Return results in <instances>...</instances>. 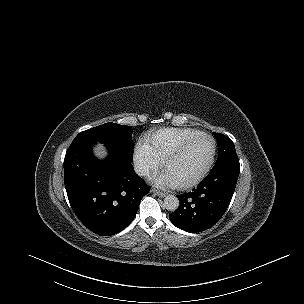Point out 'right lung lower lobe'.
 Returning <instances> with one entry per match:
<instances>
[{"label": "right lung lower lobe", "instance_id": "1", "mask_svg": "<svg viewBox=\"0 0 304 304\" xmlns=\"http://www.w3.org/2000/svg\"><path fill=\"white\" fill-rule=\"evenodd\" d=\"M95 143H71L64 159L65 188L80 221L100 236H111L133 221L150 187L112 148L105 145L108 157L96 159L92 154Z\"/></svg>", "mask_w": 304, "mask_h": 304}]
</instances>
